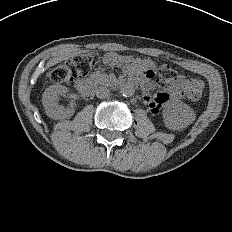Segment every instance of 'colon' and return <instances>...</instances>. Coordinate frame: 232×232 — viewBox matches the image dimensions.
<instances>
[{"instance_id": "1", "label": "colon", "mask_w": 232, "mask_h": 232, "mask_svg": "<svg viewBox=\"0 0 232 232\" xmlns=\"http://www.w3.org/2000/svg\"><path fill=\"white\" fill-rule=\"evenodd\" d=\"M95 54L77 55L58 65L51 73V80L55 83H68L86 76L97 64ZM175 71L168 65H161L158 69V82L161 87L172 85L176 81ZM189 100L196 102L203 97V83L198 80H189L186 86Z\"/></svg>"}]
</instances>
